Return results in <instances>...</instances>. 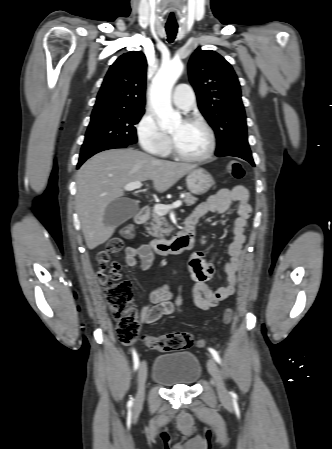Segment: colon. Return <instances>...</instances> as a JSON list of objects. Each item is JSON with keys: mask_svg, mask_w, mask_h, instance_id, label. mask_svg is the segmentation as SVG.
I'll return each instance as SVG.
<instances>
[{"mask_svg": "<svg viewBox=\"0 0 332 449\" xmlns=\"http://www.w3.org/2000/svg\"><path fill=\"white\" fill-rule=\"evenodd\" d=\"M228 173L235 179L244 176V168L239 161H230L227 164ZM135 233L133 225H127L120 231L121 237L111 239L106 247L96 256L99 266V278L105 282L107 269L114 282H105L104 293L113 316L117 320L116 333L119 340L125 344H131L139 336V322L136 310L133 308V292L130 282L120 281L121 267L117 263H110V255L119 252L123 246V239H132ZM233 312L226 309L223 314L224 323L232 320ZM144 343L151 349L168 352L180 351L189 348L193 344V335L188 332H174L161 336H143ZM203 341L197 342L203 346Z\"/></svg>", "mask_w": 332, "mask_h": 449, "instance_id": "colon-1", "label": "colon"}]
</instances>
